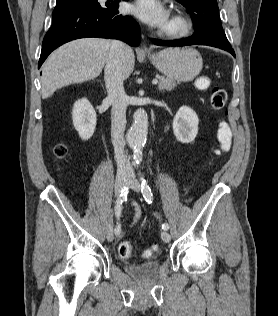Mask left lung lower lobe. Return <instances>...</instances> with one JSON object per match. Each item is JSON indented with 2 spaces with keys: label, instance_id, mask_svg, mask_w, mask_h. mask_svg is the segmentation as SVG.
Here are the masks:
<instances>
[{
  "label": "left lung lower lobe",
  "instance_id": "left-lung-lower-lobe-1",
  "mask_svg": "<svg viewBox=\"0 0 278 316\" xmlns=\"http://www.w3.org/2000/svg\"><path fill=\"white\" fill-rule=\"evenodd\" d=\"M152 42L154 44L160 45V46H185V45H193V44L208 45V46H212V47L226 50V51L230 52L235 57L234 50L231 47L221 46V45H217V44L210 43V42H205V41L196 39L194 37H188V38L176 40V41H161V40H157V39H152Z\"/></svg>",
  "mask_w": 278,
  "mask_h": 316
}]
</instances>
